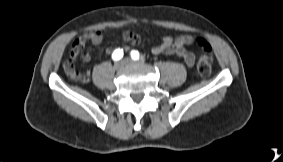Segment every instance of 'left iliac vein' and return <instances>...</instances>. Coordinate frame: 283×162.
<instances>
[{
	"label": "left iliac vein",
	"instance_id": "4c4485c4",
	"mask_svg": "<svg viewBox=\"0 0 283 162\" xmlns=\"http://www.w3.org/2000/svg\"><path fill=\"white\" fill-rule=\"evenodd\" d=\"M123 62L125 63V65H131V64H134V61L130 58H125L123 60Z\"/></svg>",
	"mask_w": 283,
	"mask_h": 162
}]
</instances>
